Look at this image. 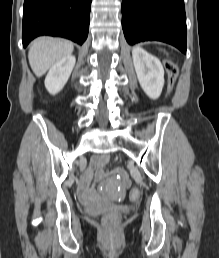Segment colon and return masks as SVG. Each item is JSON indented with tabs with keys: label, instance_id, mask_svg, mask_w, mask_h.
<instances>
[{
	"label": "colon",
	"instance_id": "1",
	"mask_svg": "<svg viewBox=\"0 0 219 258\" xmlns=\"http://www.w3.org/2000/svg\"><path fill=\"white\" fill-rule=\"evenodd\" d=\"M165 71L167 73V90L168 94H171L175 88L177 77H178V65L172 60H165L164 62ZM140 197V191L138 188H133L130 192V198L137 200ZM120 223V214L117 211H109L103 217V228L106 234H113Z\"/></svg>",
	"mask_w": 219,
	"mask_h": 258
}]
</instances>
